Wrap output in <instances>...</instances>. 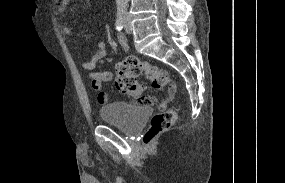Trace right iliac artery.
<instances>
[{
	"label": "right iliac artery",
	"instance_id": "right-iliac-artery-1",
	"mask_svg": "<svg viewBox=\"0 0 285 183\" xmlns=\"http://www.w3.org/2000/svg\"><path fill=\"white\" fill-rule=\"evenodd\" d=\"M116 29L117 30H122L124 26V11L123 9H119L117 13V19H116Z\"/></svg>",
	"mask_w": 285,
	"mask_h": 183
}]
</instances>
